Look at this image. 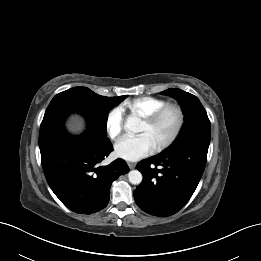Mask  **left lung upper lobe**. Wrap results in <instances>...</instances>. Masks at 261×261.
I'll return each mask as SVG.
<instances>
[{"mask_svg": "<svg viewBox=\"0 0 261 261\" xmlns=\"http://www.w3.org/2000/svg\"><path fill=\"white\" fill-rule=\"evenodd\" d=\"M161 94L175 98L184 113V123L180 133L167 149L193 142L209 144L211 137L210 121L199 99L177 88L167 89L162 91Z\"/></svg>", "mask_w": 261, "mask_h": 261, "instance_id": "obj_1", "label": "left lung upper lobe"}]
</instances>
